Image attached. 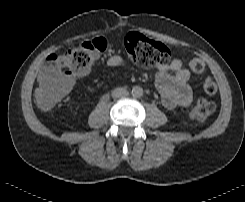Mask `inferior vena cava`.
<instances>
[{
  "instance_id": "1",
  "label": "inferior vena cava",
  "mask_w": 245,
  "mask_h": 202,
  "mask_svg": "<svg viewBox=\"0 0 245 202\" xmlns=\"http://www.w3.org/2000/svg\"><path fill=\"white\" fill-rule=\"evenodd\" d=\"M128 95V91L125 88L119 87L112 91L113 98H121Z\"/></svg>"
}]
</instances>
